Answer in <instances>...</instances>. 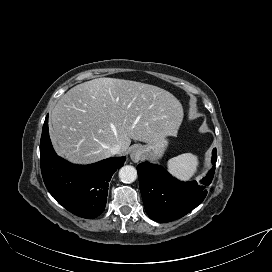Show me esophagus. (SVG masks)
Instances as JSON below:
<instances>
[{
    "label": "esophagus",
    "instance_id": "1",
    "mask_svg": "<svg viewBox=\"0 0 272 272\" xmlns=\"http://www.w3.org/2000/svg\"><path fill=\"white\" fill-rule=\"evenodd\" d=\"M130 158L133 162L137 163L143 158V150L141 147L137 146L133 148L130 154Z\"/></svg>",
    "mask_w": 272,
    "mask_h": 272
}]
</instances>
